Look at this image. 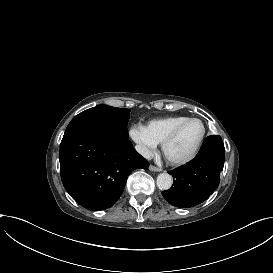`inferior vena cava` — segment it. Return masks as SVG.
Returning a JSON list of instances; mask_svg holds the SVG:
<instances>
[{"label": "inferior vena cava", "instance_id": "1", "mask_svg": "<svg viewBox=\"0 0 273 273\" xmlns=\"http://www.w3.org/2000/svg\"><path fill=\"white\" fill-rule=\"evenodd\" d=\"M135 149L138 153L149 159L151 157L150 150L143 145H135Z\"/></svg>", "mask_w": 273, "mask_h": 273}]
</instances>
